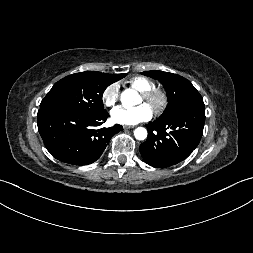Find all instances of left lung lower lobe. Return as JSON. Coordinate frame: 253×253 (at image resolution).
<instances>
[{"instance_id": "left-lung-lower-lobe-1", "label": "left lung lower lobe", "mask_w": 253, "mask_h": 253, "mask_svg": "<svg viewBox=\"0 0 253 253\" xmlns=\"http://www.w3.org/2000/svg\"><path fill=\"white\" fill-rule=\"evenodd\" d=\"M204 123L201 97L170 118L147 124L148 138L140 145L144 161L156 168L170 167L183 161L198 146Z\"/></svg>"}]
</instances>
